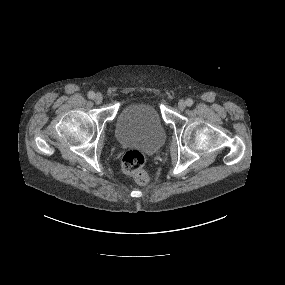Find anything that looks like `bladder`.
Segmentation results:
<instances>
[{
	"label": "bladder",
	"instance_id": "1",
	"mask_svg": "<svg viewBox=\"0 0 285 285\" xmlns=\"http://www.w3.org/2000/svg\"><path fill=\"white\" fill-rule=\"evenodd\" d=\"M115 134L122 144H135L147 152L157 151L165 142V130L158 111L149 103H130L119 113Z\"/></svg>",
	"mask_w": 285,
	"mask_h": 285
}]
</instances>
